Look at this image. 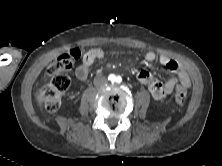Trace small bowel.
Wrapping results in <instances>:
<instances>
[{"mask_svg":"<svg viewBox=\"0 0 222 166\" xmlns=\"http://www.w3.org/2000/svg\"><path fill=\"white\" fill-rule=\"evenodd\" d=\"M106 56V53L101 48H93L84 53L82 62L75 69V76L80 81H86L90 68L93 63ZM145 60L148 62H154L158 60L165 68L174 73L176 77H171L165 82H162L154 77L152 73L146 70H141L137 73V79L148 86L149 91L154 99L161 100L168 96L175 86L180 83L184 87L188 88L191 85L190 77L187 71L175 60L171 59L167 55H158L154 51H148L145 54Z\"/></svg>","mask_w":222,"mask_h":166,"instance_id":"1","label":"small bowel"}]
</instances>
